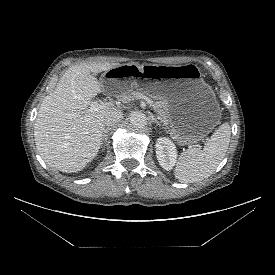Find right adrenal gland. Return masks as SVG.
<instances>
[{
    "instance_id": "right-adrenal-gland-1",
    "label": "right adrenal gland",
    "mask_w": 275,
    "mask_h": 275,
    "mask_svg": "<svg viewBox=\"0 0 275 275\" xmlns=\"http://www.w3.org/2000/svg\"><path fill=\"white\" fill-rule=\"evenodd\" d=\"M111 130V128L110 127H107V128H105V130H104V134H103V142H102V144H104L106 141H107V134H108V132Z\"/></svg>"
}]
</instances>
